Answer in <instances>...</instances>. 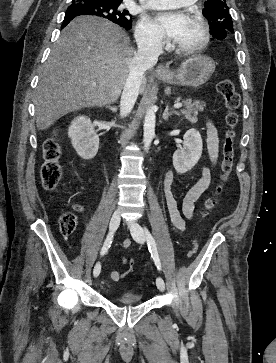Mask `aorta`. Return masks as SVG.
I'll use <instances>...</instances> for the list:
<instances>
[{"label":"aorta","mask_w":276,"mask_h":363,"mask_svg":"<svg viewBox=\"0 0 276 363\" xmlns=\"http://www.w3.org/2000/svg\"><path fill=\"white\" fill-rule=\"evenodd\" d=\"M156 116L153 108H149L144 119V150L147 151L155 135Z\"/></svg>","instance_id":"762f6f07"}]
</instances>
